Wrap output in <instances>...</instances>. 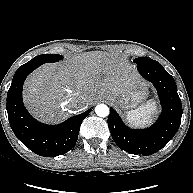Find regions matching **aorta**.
<instances>
[{
	"mask_svg": "<svg viewBox=\"0 0 193 193\" xmlns=\"http://www.w3.org/2000/svg\"><path fill=\"white\" fill-rule=\"evenodd\" d=\"M95 112L99 117H106L109 115V108L105 104H99L96 106Z\"/></svg>",
	"mask_w": 193,
	"mask_h": 193,
	"instance_id": "obj_1",
	"label": "aorta"
}]
</instances>
